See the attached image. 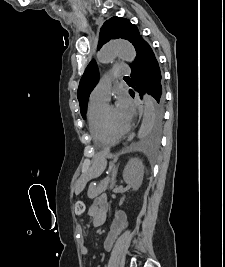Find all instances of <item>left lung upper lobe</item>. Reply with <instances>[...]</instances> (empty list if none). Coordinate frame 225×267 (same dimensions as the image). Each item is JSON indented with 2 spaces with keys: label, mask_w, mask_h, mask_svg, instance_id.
Instances as JSON below:
<instances>
[{
  "label": "left lung upper lobe",
  "mask_w": 225,
  "mask_h": 267,
  "mask_svg": "<svg viewBox=\"0 0 225 267\" xmlns=\"http://www.w3.org/2000/svg\"><path fill=\"white\" fill-rule=\"evenodd\" d=\"M126 39L133 44L136 51L142 37L139 34L137 27L131 24L129 20L122 17H112L107 20L101 27L99 35L98 49H100L110 39ZM98 82V68L93 59L87 66L78 87L77 98L80 104V112L85 118L87 111V102L89 95ZM163 118V108L154 104L152 130L157 134L161 128Z\"/></svg>",
  "instance_id": "1"
}]
</instances>
